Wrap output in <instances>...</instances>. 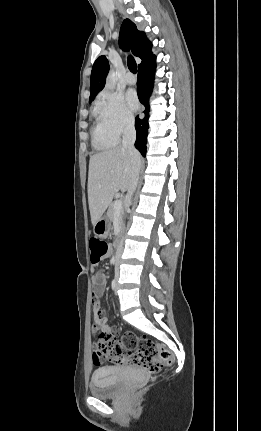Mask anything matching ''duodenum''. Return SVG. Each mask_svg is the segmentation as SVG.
Instances as JSON below:
<instances>
[{"mask_svg": "<svg viewBox=\"0 0 261 431\" xmlns=\"http://www.w3.org/2000/svg\"><path fill=\"white\" fill-rule=\"evenodd\" d=\"M121 237H122V232H121V231H119V232L117 233V237H116L115 245H118V244L120 243Z\"/></svg>", "mask_w": 261, "mask_h": 431, "instance_id": "duodenum-1", "label": "duodenum"}]
</instances>
